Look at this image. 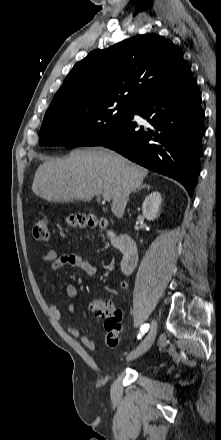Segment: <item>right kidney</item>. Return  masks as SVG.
<instances>
[{"mask_svg": "<svg viewBox=\"0 0 221 440\" xmlns=\"http://www.w3.org/2000/svg\"><path fill=\"white\" fill-rule=\"evenodd\" d=\"M161 201H162L161 195L157 191L150 193L145 198L142 204V213L147 220L153 221L158 217Z\"/></svg>", "mask_w": 221, "mask_h": 440, "instance_id": "ca27d5eb", "label": "right kidney"}]
</instances>
